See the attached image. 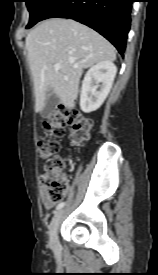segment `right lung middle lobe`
<instances>
[{"instance_id": "obj_1", "label": "right lung middle lobe", "mask_w": 158, "mask_h": 275, "mask_svg": "<svg viewBox=\"0 0 158 275\" xmlns=\"http://www.w3.org/2000/svg\"><path fill=\"white\" fill-rule=\"evenodd\" d=\"M30 12V19L27 28H31L41 20L45 12L56 0H25Z\"/></svg>"}]
</instances>
